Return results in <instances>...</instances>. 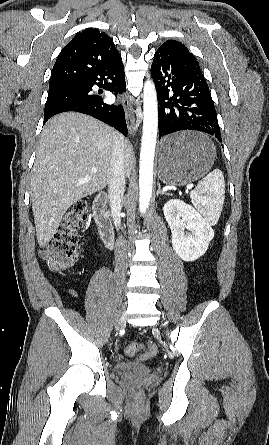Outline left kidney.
<instances>
[{"mask_svg": "<svg viewBox=\"0 0 269 445\" xmlns=\"http://www.w3.org/2000/svg\"><path fill=\"white\" fill-rule=\"evenodd\" d=\"M163 211L172 232V246L176 254L187 262L204 255L214 237L210 224L182 200H169Z\"/></svg>", "mask_w": 269, "mask_h": 445, "instance_id": "obj_1", "label": "left kidney"}]
</instances>
